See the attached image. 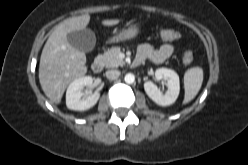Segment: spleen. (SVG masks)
Instances as JSON below:
<instances>
[{
  "label": "spleen",
  "instance_id": "3e777b00",
  "mask_svg": "<svg viewBox=\"0 0 248 165\" xmlns=\"http://www.w3.org/2000/svg\"><path fill=\"white\" fill-rule=\"evenodd\" d=\"M203 82V70L200 67L188 69L184 75L185 96L183 104L189 103L198 94Z\"/></svg>",
  "mask_w": 248,
  "mask_h": 165
}]
</instances>
